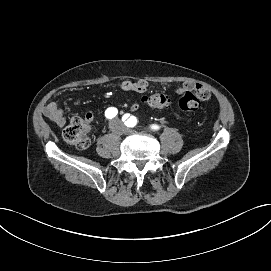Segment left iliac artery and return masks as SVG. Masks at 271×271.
<instances>
[{"label": "left iliac artery", "mask_w": 271, "mask_h": 271, "mask_svg": "<svg viewBox=\"0 0 271 271\" xmlns=\"http://www.w3.org/2000/svg\"><path fill=\"white\" fill-rule=\"evenodd\" d=\"M122 121H123V124L125 126H128V127H133L135 126V117L132 115V114H125L122 118ZM152 129L154 130H158L159 129V126L158 125H152L151 126Z\"/></svg>", "instance_id": "obj_1"}]
</instances>
